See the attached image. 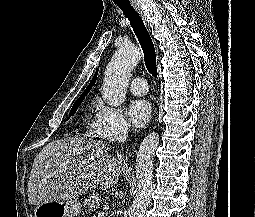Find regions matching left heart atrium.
Listing matches in <instances>:
<instances>
[{
  "label": "left heart atrium",
  "instance_id": "39dd6f15",
  "mask_svg": "<svg viewBox=\"0 0 255 217\" xmlns=\"http://www.w3.org/2000/svg\"><path fill=\"white\" fill-rule=\"evenodd\" d=\"M129 119L134 128L143 127L151 115L150 103L144 99L132 101L128 108Z\"/></svg>",
  "mask_w": 255,
  "mask_h": 217
}]
</instances>
